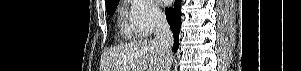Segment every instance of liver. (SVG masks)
<instances>
[{"mask_svg":"<svg viewBox=\"0 0 301 71\" xmlns=\"http://www.w3.org/2000/svg\"><path fill=\"white\" fill-rule=\"evenodd\" d=\"M171 60V56L169 57ZM165 56L155 39H142L107 50L101 71H163Z\"/></svg>","mask_w":301,"mask_h":71,"instance_id":"liver-1","label":"liver"}]
</instances>
